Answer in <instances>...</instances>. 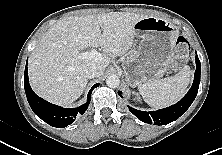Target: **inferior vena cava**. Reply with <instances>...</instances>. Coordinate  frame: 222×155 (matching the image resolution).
<instances>
[{
  "label": "inferior vena cava",
  "mask_w": 222,
  "mask_h": 155,
  "mask_svg": "<svg viewBox=\"0 0 222 155\" xmlns=\"http://www.w3.org/2000/svg\"><path fill=\"white\" fill-rule=\"evenodd\" d=\"M103 72L104 69L95 63L88 66L85 70L86 77L89 79L100 77L101 75H103Z\"/></svg>",
  "instance_id": "1"
}]
</instances>
